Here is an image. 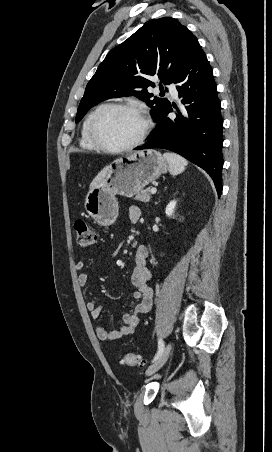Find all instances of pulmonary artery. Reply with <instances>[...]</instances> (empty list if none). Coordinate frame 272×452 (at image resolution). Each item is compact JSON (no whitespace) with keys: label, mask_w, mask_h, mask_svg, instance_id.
I'll use <instances>...</instances> for the list:
<instances>
[{"label":"pulmonary artery","mask_w":272,"mask_h":452,"mask_svg":"<svg viewBox=\"0 0 272 452\" xmlns=\"http://www.w3.org/2000/svg\"><path fill=\"white\" fill-rule=\"evenodd\" d=\"M166 87L174 97L177 96V90L175 89L174 84H168Z\"/></svg>","instance_id":"e3ab8cb5"}]
</instances>
